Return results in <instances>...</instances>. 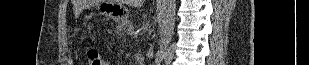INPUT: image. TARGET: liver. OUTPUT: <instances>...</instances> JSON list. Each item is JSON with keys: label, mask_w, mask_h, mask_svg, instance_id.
Segmentation results:
<instances>
[{"label": "liver", "mask_w": 309, "mask_h": 65, "mask_svg": "<svg viewBox=\"0 0 309 65\" xmlns=\"http://www.w3.org/2000/svg\"><path fill=\"white\" fill-rule=\"evenodd\" d=\"M117 2H121L124 4L131 5V6H141L143 3V0H118Z\"/></svg>", "instance_id": "6515ba94"}]
</instances>
